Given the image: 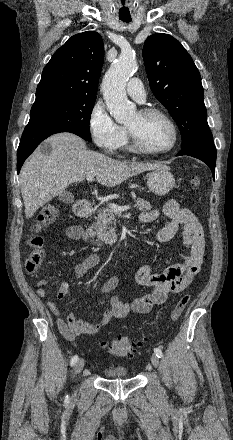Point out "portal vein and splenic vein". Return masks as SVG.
I'll return each instance as SVG.
<instances>
[{
  "mask_svg": "<svg viewBox=\"0 0 233 440\" xmlns=\"http://www.w3.org/2000/svg\"><path fill=\"white\" fill-rule=\"evenodd\" d=\"M93 179H94V176L93 175H88L87 176V181L88 182H91V181H93ZM116 214H121L123 211H127L128 209H130V206L129 205H126V206H118V205H116V204H114V203H110L109 205H108Z\"/></svg>",
  "mask_w": 233,
  "mask_h": 440,
  "instance_id": "1",
  "label": "portal vein and splenic vein"
}]
</instances>
